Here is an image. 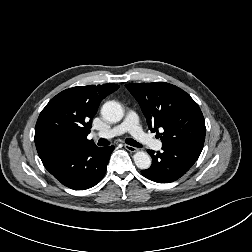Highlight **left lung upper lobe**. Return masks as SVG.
<instances>
[{
    "label": "left lung upper lobe",
    "instance_id": "left-lung-upper-lobe-1",
    "mask_svg": "<svg viewBox=\"0 0 252 252\" xmlns=\"http://www.w3.org/2000/svg\"><path fill=\"white\" fill-rule=\"evenodd\" d=\"M138 101L151 131L164 129L163 146L189 147L202 151L205 121L198 104L182 89L169 83L125 85Z\"/></svg>",
    "mask_w": 252,
    "mask_h": 252
}]
</instances>
